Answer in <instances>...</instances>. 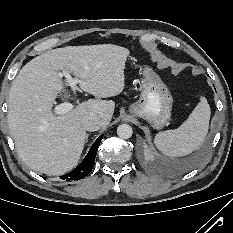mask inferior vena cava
<instances>
[{"label": "inferior vena cava", "instance_id": "602c4592", "mask_svg": "<svg viewBox=\"0 0 233 233\" xmlns=\"http://www.w3.org/2000/svg\"><path fill=\"white\" fill-rule=\"evenodd\" d=\"M81 125L86 131H98L102 127L103 122L99 117L90 114L82 120Z\"/></svg>", "mask_w": 233, "mask_h": 233}]
</instances>
